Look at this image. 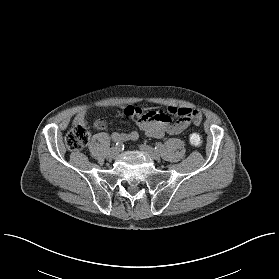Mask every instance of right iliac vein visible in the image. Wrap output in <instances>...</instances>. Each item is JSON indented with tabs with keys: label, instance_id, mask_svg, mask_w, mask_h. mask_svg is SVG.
Segmentation results:
<instances>
[{
	"label": "right iliac vein",
	"instance_id": "right-iliac-vein-1",
	"mask_svg": "<svg viewBox=\"0 0 279 279\" xmlns=\"http://www.w3.org/2000/svg\"><path fill=\"white\" fill-rule=\"evenodd\" d=\"M119 151L120 150L117 147H112L111 150H110V153H109L110 157L111 158H116L119 154Z\"/></svg>",
	"mask_w": 279,
	"mask_h": 279
}]
</instances>
